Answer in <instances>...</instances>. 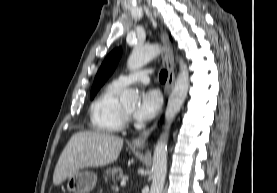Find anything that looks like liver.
<instances>
[{
  "mask_svg": "<svg viewBox=\"0 0 277 193\" xmlns=\"http://www.w3.org/2000/svg\"><path fill=\"white\" fill-rule=\"evenodd\" d=\"M123 139L98 131L74 134L56 164L53 184L59 185L69 176L88 167L106 166L117 160Z\"/></svg>",
  "mask_w": 277,
  "mask_h": 193,
  "instance_id": "1",
  "label": "liver"
}]
</instances>
